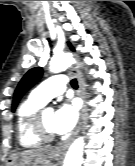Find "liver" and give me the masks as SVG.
Masks as SVG:
<instances>
[{"mask_svg": "<svg viewBox=\"0 0 135 166\" xmlns=\"http://www.w3.org/2000/svg\"><path fill=\"white\" fill-rule=\"evenodd\" d=\"M15 155H20L22 157L21 161L18 162L17 165L28 166L35 163H40L45 166H50L49 158H51V152H49L47 148L26 150ZM13 156H11L10 159H12Z\"/></svg>", "mask_w": 135, "mask_h": 166, "instance_id": "liver-1", "label": "liver"}]
</instances>
